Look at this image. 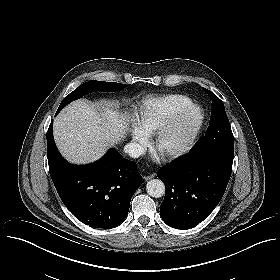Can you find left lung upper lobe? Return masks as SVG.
Instances as JSON below:
<instances>
[{"label":"left lung upper lobe","mask_w":280,"mask_h":280,"mask_svg":"<svg viewBox=\"0 0 280 280\" xmlns=\"http://www.w3.org/2000/svg\"><path fill=\"white\" fill-rule=\"evenodd\" d=\"M212 99L209 126L190 154L219 152L234 155V136L227 118L223 102L211 91L205 89Z\"/></svg>","instance_id":"obj_1"}]
</instances>
